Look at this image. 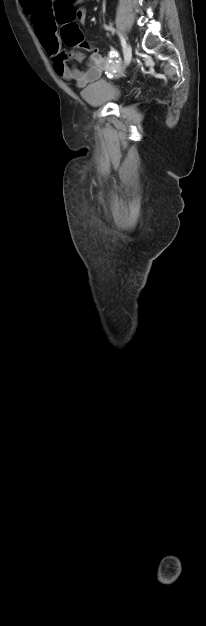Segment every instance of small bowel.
<instances>
[{
	"label": "small bowel",
	"instance_id": "small-bowel-1",
	"mask_svg": "<svg viewBox=\"0 0 206 626\" xmlns=\"http://www.w3.org/2000/svg\"><path fill=\"white\" fill-rule=\"evenodd\" d=\"M50 7L51 2L47 0L44 1L40 10L28 8V13L42 47L53 57V67L59 77L66 81H73L79 88H82L99 79L103 71L112 70L117 65L118 53L116 50L111 49L107 56H103L98 49H95L90 56V62L86 69L80 70L71 67L65 56L60 53L59 41L56 36L55 14ZM74 14V19L83 23L86 19L87 10L81 6Z\"/></svg>",
	"mask_w": 206,
	"mask_h": 626
}]
</instances>
